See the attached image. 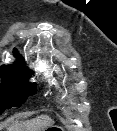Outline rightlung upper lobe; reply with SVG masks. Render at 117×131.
Segmentation results:
<instances>
[{
	"label": "right lung upper lobe",
	"mask_w": 117,
	"mask_h": 131,
	"mask_svg": "<svg viewBox=\"0 0 117 131\" xmlns=\"http://www.w3.org/2000/svg\"><path fill=\"white\" fill-rule=\"evenodd\" d=\"M14 56L17 58V62L14 65H3L0 67V70H6V69H11V68L24 70L25 61L22 58V56H20L17 51H14ZM28 75H31L30 71L28 72Z\"/></svg>",
	"instance_id": "1"
}]
</instances>
